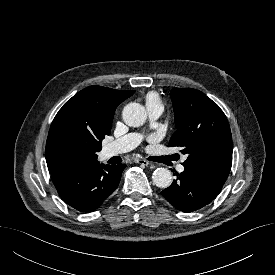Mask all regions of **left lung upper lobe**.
<instances>
[{
    "label": "left lung upper lobe",
    "mask_w": 275,
    "mask_h": 275,
    "mask_svg": "<svg viewBox=\"0 0 275 275\" xmlns=\"http://www.w3.org/2000/svg\"><path fill=\"white\" fill-rule=\"evenodd\" d=\"M170 96L177 130L169 144L171 147H181V152L188 155L183 165L229 175L232 136L223 111L196 89L174 88Z\"/></svg>",
    "instance_id": "left-lung-upper-lobe-1"
}]
</instances>
